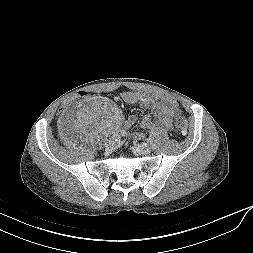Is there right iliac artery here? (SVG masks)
Returning <instances> with one entry per match:
<instances>
[{
  "label": "right iliac artery",
  "mask_w": 253,
  "mask_h": 253,
  "mask_svg": "<svg viewBox=\"0 0 253 253\" xmlns=\"http://www.w3.org/2000/svg\"><path fill=\"white\" fill-rule=\"evenodd\" d=\"M119 135L120 136H126L127 135V132L125 130H120L119 131Z\"/></svg>",
  "instance_id": "1"
}]
</instances>
